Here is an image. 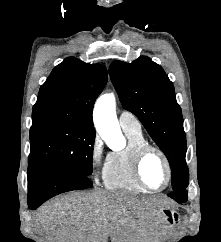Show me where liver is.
I'll return each instance as SVG.
<instances>
[{
	"instance_id": "liver-1",
	"label": "liver",
	"mask_w": 221,
	"mask_h": 242,
	"mask_svg": "<svg viewBox=\"0 0 221 242\" xmlns=\"http://www.w3.org/2000/svg\"><path fill=\"white\" fill-rule=\"evenodd\" d=\"M168 204L127 192H72L42 205L34 221L48 242H156Z\"/></svg>"
}]
</instances>
